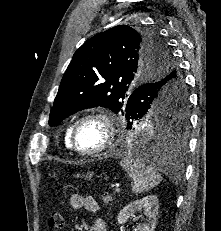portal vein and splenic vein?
<instances>
[{"label": "portal vein and splenic vein", "instance_id": "18ae733b", "mask_svg": "<svg viewBox=\"0 0 221 231\" xmlns=\"http://www.w3.org/2000/svg\"><path fill=\"white\" fill-rule=\"evenodd\" d=\"M115 192L119 193L120 192V188L117 187L116 190H115Z\"/></svg>", "mask_w": 221, "mask_h": 231}]
</instances>
